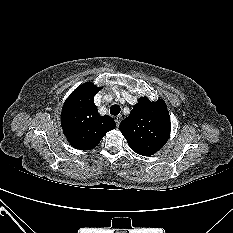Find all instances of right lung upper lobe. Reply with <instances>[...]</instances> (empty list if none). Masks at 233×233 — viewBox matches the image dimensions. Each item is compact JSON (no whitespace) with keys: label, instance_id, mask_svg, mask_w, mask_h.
<instances>
[{"label":"right lung upper lobe","instance_id":"1","mask_svg":"<svg viewBox=\"0 0 233 233\" xmlns=\"http://www.w3.org/2000/svg\"><path fill=\"white\" fill-rule=\"evenodd\" d=\"M100 89L93 83H84L73 91L63 105L61 113L63 132L76 149L95 148L104 135L116 127L111 117L99 115L94 104V96Z\"/></svg>","mask_w":233,"mask_h":233}]
</instances>
